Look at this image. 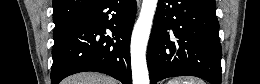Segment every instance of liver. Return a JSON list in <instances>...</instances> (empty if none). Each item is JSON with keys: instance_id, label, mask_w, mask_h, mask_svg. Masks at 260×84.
Returning a JSON list of instances; mask_svg holds the SVG:
<instances>
[{"instance_id": "6515ba94", "label": "liver", "mask_w": 260, "mask_h": 84, "mask_svg": "<svg viewBox=\"0 0 260 84\" xmlns=\"http://www.w3.org/2000/svg\"><path fill=\"white\" fill-rule=\"evenodd\" d=\"M63 84H117V81L100 73L83 72L68 77Z\"/></svg>"}]
</instances>
